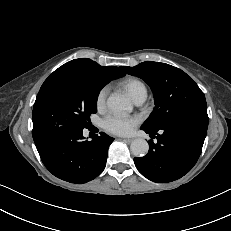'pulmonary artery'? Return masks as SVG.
I'll return each instance as SVG.
<instances>
[{"instance_id":"pulmonary-artery-1","label":"pulmonary artery","mask_w":231,"mask_h":231,"mask_svg":"<svg viewBox=\"0 0 231 231\" xmlns=\"http://www.w3.org/2000/svg\"><path fill=\"white\" fill-rule=\"evenodd\" d=\"M144 100H145L144 98H139V99L135 100V103L137 105H140V104H142L144 102Z\"/></svg>"}]
</instances>
